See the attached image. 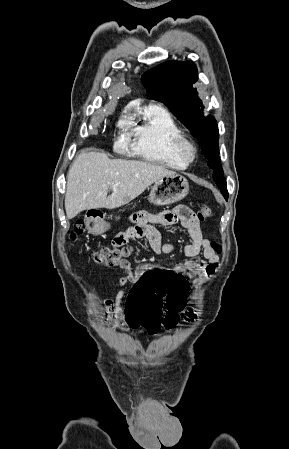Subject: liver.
<instances>
[{
  "mask_svg": "<svg viewBox=\"0 0 289 449\" xmlns=\"http://www.w3.org/2000/svg\"><path fill=\"white\" fill-rule=\"evenodd\" d=\"M175 174L151 162L109 159L104 153L82 152L68 171L67 218L72 219L89 209L119 208L137 198L157 180ZM109 189L112 194L107 196Z\"/></svg>",
  "mask_w": 289,
  "mask_h": 449,
  "instance_id": "6515ba94",
  "label": "liver"
}]
</instances>
